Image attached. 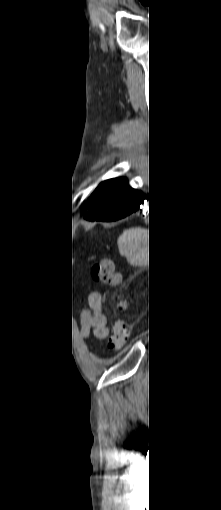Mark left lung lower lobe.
<instances>
[{"instance_id":"0a47b994","label":"left lung lower lobe","mask_w":221,"mask_h":510,"mask_svg":"<svg viewBox=\"0 0 221 510\" xmlns=\"http://www.w3.org/2000/svg\"><path fill=\"white\" fill-rule=\"evenodd\" d=\"M145 200L142 192L127 186L107 205L89 211L85 218L91 221H116L138 211Z\"/></svg>"}]
</instances>
